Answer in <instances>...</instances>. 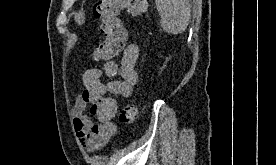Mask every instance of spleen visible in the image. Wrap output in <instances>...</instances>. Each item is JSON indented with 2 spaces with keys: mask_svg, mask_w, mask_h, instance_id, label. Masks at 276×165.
<instances>
[{
  "mask_svg": "<svg viewBox=\"0 0 276 165\" xmlns=\"http://www.w3.org/2000/svg\"><path fill=\"white\" fill-rule=\"evenodd\" d=\"M155 4L163 31L177 35L186 30L191 17L189 0H155Z\"/></svg>",
  "mask_w": 276,
  "mask_h": 165,
  "instance_id": "3e777b00",
  "label": "spleen"
}]
</instances>
